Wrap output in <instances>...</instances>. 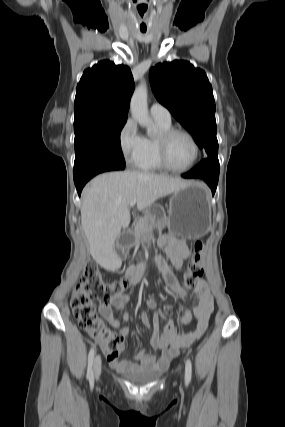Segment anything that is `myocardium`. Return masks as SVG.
I'll return each instance as SVG.
<instances>
[{
	"mask_svg": "<svg viewBox=\"0 0 285 427\" xmlns=\"http://www.w3.org/2000/svg\"><path fill=\"white\" fill-rule=\"evenodd\" d=\"M184 135L186 136L194 147V156L191 161V163L184 167V168H176L172 166L168 160V145L171 139L176 135ZM157 151H158V157L159 161L163 168H165L168 171L175 172V173H184L188 172L191 169L194 168V166L197 164L199 155H200V146L195 139V137L187 130L182 128H175L171 127L167 130L161 131L160 134L157 137Z\"/></svg>",
	"mask_w": 285,
	"mask_h": 427,
	"instance_id": "1",
	"label": "myocardium"
}]
</instances>
